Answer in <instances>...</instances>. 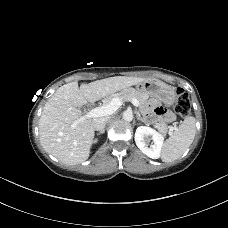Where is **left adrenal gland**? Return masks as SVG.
I'll return each mask as SVG.
<instances>
[{"instance_id": "a2214340", "label": "left adrenal gland", "mask_w": 228, "mask_h": 228, "mask_svg": "<svg viewBox=\"0 0 228 228\" xmlns=\"http://www.w3.org/2000/svg\"><path fill=\"white\" fill-rule=\"evenodd\" d=\"M137 120L142 121L143 123L147 124L146 120L144 118H142L139 113L137 115Z\"/></svg>"}]
</instances>
